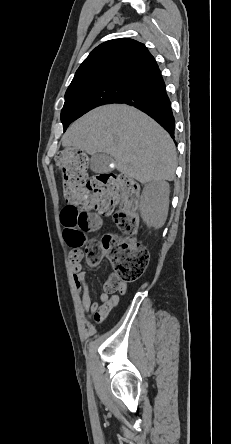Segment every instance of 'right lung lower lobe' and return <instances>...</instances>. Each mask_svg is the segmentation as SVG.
<instances>
[{
  "instance_id": "right-lung-lower-lobe-1",
  "label": "right lung lower lobe",
  "mask_w": 231,
  "mask_h": 444,
  "mask_svg": "<svg viewBox=\"0 0 231 444\" xmlns=\"http://www.w3.org/2000/svg\"><path fill=\"white\" fill-rule=\"evenodd\" d=\"M114 103H125L142 110L174 138L175 119L162 76L134 86Z\"/></svg>"
}]
</instances>
